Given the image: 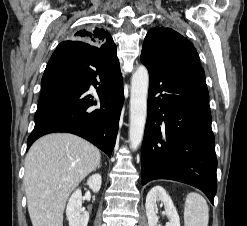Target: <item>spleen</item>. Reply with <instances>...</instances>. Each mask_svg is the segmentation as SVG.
I'll return each mask as SVG.
<instances>
[{"label":"spleen","instance_id":"spleen-1","mask_svg":"<svg viewBox=\"0 0 247 226\" xmlns=\"http://www.w3.org/2000/svg\"><path fill=\"white\" fill-rule=\"evenodd\" d=\"M209 208L206 200L198 193H189L185 200V226H208Z\"/></svg>","mask_w":247,"mask_h":226}]
</instances>
